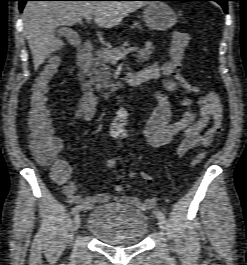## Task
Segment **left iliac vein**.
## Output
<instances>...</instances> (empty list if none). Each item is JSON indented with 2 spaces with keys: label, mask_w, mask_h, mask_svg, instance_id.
Segmentation results:
<instances>
[{
  "label": "left iliac vein",
  "mask_w": 247,
  "mask_h": 265,
  "mask_svg": "<svg viewBox=\"0 0 247 265\" xmlns=\"http://www.w3.org/2000/svg\"><path fill=\"white\" fill-rule=\"evenodd\" d=\"M157 220H158V225L160 229L164 231L166 229V220L158 216H157Z\"/></svg>",
  "instance_id": "left-iliac-vein-1"
}]
</instances>
